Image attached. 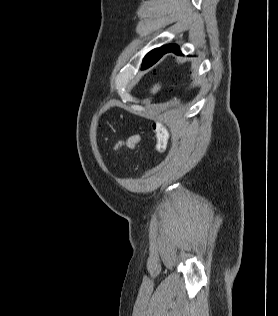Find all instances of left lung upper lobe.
Masks as SVG:
<instances>
[{
	"label": "left lung upper lobe",
	"mask_w": 278,
	"mask_h": 316,
	"mask_svg": "<svg viewBox=\"0 0 278 316\" xmlns=\"http://www.w3.org/2000/svg\"><path fill=\"white\" fill-rule=\"evenodd\" d=\"M168 45H164L160 48H155L152 51H150L143 60V69H146L150 66H152L153 64H155L161 57L162 52L165 50V48Z\"/></svg>",
	"instance_id": "1"
}]
</instances>
